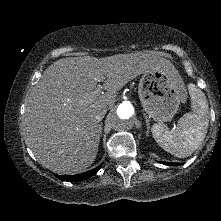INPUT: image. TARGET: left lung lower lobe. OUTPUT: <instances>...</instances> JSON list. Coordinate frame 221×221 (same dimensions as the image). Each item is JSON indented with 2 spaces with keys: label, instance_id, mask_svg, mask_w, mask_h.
Instances as JSON below:
<instances>
[{
  "label": "left lung lower lobe",
  "instance_id": "left-lung-lower-lobe-1",
  "mask_svg": "<svg viewBox=\"0 0 221 221\" xmlns=\"http://www.w3.org/2000/svg\"><path fill=\"white\" fill-rule=\"evenodd\" d=\"M160 163L164 165H181V163H170V162H160Z\"/></svg>",
  "mask_w": 221,
  "mask_h": 221
}]
</instances>
